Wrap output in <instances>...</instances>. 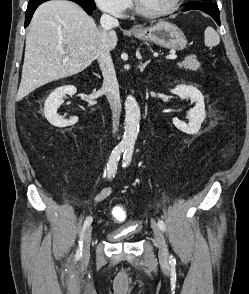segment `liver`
Here are the masks:
<instances>
[{"label": "liver", "mask_w": 249, "mask_h": 294, "mask_svg": "<svg viewBox=\"0 0 249 294\" xmlns=\"http://www.w3.org/2000/svg\"><path fill=\"white\" fill-rule=\"evenodd\" d=\"M103 30L76 3L51 0L35 11L26 36L25 57L17 99L58 79L82 72L96 58ZM109 49L117 45L108 34ZM64 50V53L59 51ZM69 57L68 60H65Z\"/></svg>", "instance_id": "6515ba94"}]
</instances>
